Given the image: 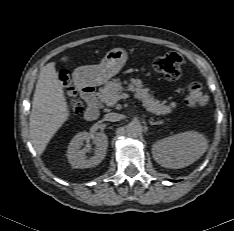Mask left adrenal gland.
Here are the masks:
<instances>
[{
    "instance_id": "obj_1",
    "label": "left adrenal gland",
    "mask_w": 234,
    "mask_h": 231,
    "mask_svg": "<svg viewBox=\"0 0 234 231\" xmlns=\"http://www.w3.org/2000/svg\"><path fill=\"white\" fill-rule=\"evenodd\" d=\"M162 123H163V122H161V121L154 122L153 119H152V120H149V124H150V125H160V124H162Z\"/></svg>"
}]
</instances>
